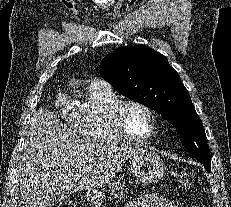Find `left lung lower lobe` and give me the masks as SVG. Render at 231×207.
I'll use <instances>...</instances> for the list:
<instances>
[{"label": "left lung lower lobe", "mask_w": 231, "mask_h": 207, "mask_svg": "<svg viewBox=\"0 0 231 207\" xmlns=\"http://www.w3.org/2000/svg\"><path fill=\"white\" fill-rule=\"evenodd\" d=\"M205 169L210 172V166L209 165H204Z\"/></svg>", "instance_id": "0a47b994"}]
</instances>
